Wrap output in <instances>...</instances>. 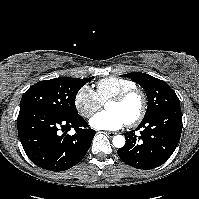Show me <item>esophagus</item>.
Here are the masks:
<instances>
[{
    "label": "esophagus",
    "instance_id": "obj_1",
    "mask_svg": "<svg viewBox=\"0 0 199 199\" xmlns=\"http://www.w3.org/2000/svg\"><path fill=\"white\" fill-rule=\"evenodd\" d=\"M105 134H106L107 136H109V137H113V136L116 135L115 132H105Z\"/></svg>",
    "mask_w": 199,
    "mask_h": 199
}]
</instances>
